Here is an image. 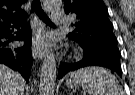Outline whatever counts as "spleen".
<instances>
[{"mask_svg":"<svg viewBox=\"0 0 135 95\" xmlns=\"http://www.w3.org/2000/svg\"><path fill=\"white\" fill-rule=\"evenodd\" d=\"M88 95H124L116 77L101 67H86L70 74Z\"/></svg>","mask_w":135,"mask_h":95,"instance_id":"spleen-1","label":"spleen"}]
</instances>
